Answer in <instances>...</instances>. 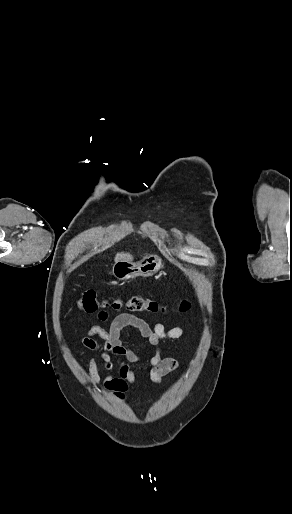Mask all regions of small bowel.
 <instances>
[{
    "instance_id": "obj_1",
    "label": "small bowel",
    "mask_w": 292,
    "mask_h": 514,
    "mask_svg": "<svg viewBox=\"0 0 292 514\" xmlns=\"http://www.w3.org/2000/svg\"><path fill=\"white\" fill-rule=\"evenodd\" d=\"M100 322L109 321L108 312L100 310L96 314ZM126 327H133L139 330L142 337L154 349V354L148 358V367L145 372L148 374V382L143 384L137 380V372L130 368L129 363H138L143 357L123 343L121 332ZM185 330L182 327L167 328L163 323L157 322L150 325L144 319L130 313L118 314L110 321L108 329L100 325L90 327L86 335L80 340V349L96 351L97 356L90 358L87 362V372L92 385L102 384L105 389L122 397L129 387L143 389L151 384H160L165 376L177 370L180 363L172 357H162L160 343L182 338ZM96 338H99L97 340ZM112 355L123 357L125 360L118 364V376H107L102 378L99 362L103 363L106 371L115 368Z\"/></svg>"
}]
</instances>
